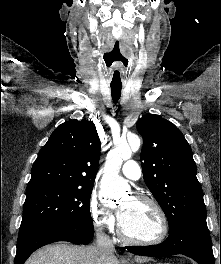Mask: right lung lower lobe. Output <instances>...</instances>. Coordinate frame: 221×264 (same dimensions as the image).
I'll return each instance as SVG.
<instances>
[{
    "label": "right lung lower lobe",
    "mask_w": 221,
    "mask_h": 264,
    "mask_svg": "<svg viewBox=\"0 0 221 264\" xmlns=\"http://www.w3.org/2000/svg\"><path fill=\"white\" fill-rule=\"evenodd\" d=\"M94 236L93 226L32 227L19 232L15 264H24L38 248L57 241L89 244Z\"/></svg>",
    "instance_id": "right-lung-lower-lobe-1"
}]
</instances>
